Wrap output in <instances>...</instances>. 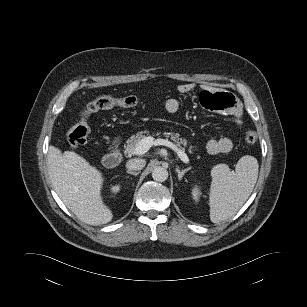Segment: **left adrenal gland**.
I'll return each instance as SVG.
<instances>
[{
    "instance_id": "1",
    "label": "left adrenal gland",
    "mask_w": 307,
    "mask_h": 307,
    "mask_svg": "<svg viewBox=\"0 0 307 307\" xmlns=\"http://www.w3.org/2000/svg\"><path fill=\"white\" fill-rule=\"evenodd\" d=\"M190 169H191V167H188V168L181 171L179 168H176V172L178 173V180H182L185 173H187Z\"/></svg>"
}]
</instances>
